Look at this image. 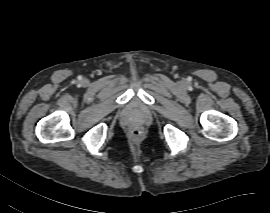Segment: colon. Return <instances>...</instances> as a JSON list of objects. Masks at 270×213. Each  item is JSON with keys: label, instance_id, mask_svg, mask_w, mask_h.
Masks as SVG:
<instances>
[{"label": "colon", "instance_id": "5ec220e1", "mask_svg": "<svg viewBox=\"0 0 270 213\" xmlns=\"http://www.w3.org/2000/svg\"><path fill=\"white\" fill-rule=\"evenodd\" d=\"M140 135H141V130H140V129L134 130L133 136H134L136 139H138V138L140 137Z\"/></svg>", "mask_w": 270, "mask_h": 213}]
</instances>
